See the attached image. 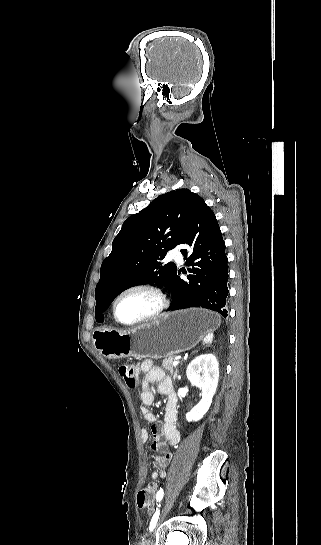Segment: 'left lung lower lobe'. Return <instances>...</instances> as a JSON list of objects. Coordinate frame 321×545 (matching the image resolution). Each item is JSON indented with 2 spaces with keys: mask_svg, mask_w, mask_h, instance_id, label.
<instances>
[{
  "mask_svg": "<svg viewBox=\"0 0 321 545\" xmlns=\"http://www.w3.org/2000/svg\"><path fill=\"white\" fill-rule=\"evenodd\" d=\"M179 244L189 245L182 249L185 264L192 274L182 280L173 274L166 286L172 293L169 311L190 307H202L227 317L226 298L228 267L225 243L214 212L204 203L198 204Z\"/></svg>",
  "mask_w": 321,
  "mask_h": 545,
  "instance_id": "obj_1",
  "label": "left lung lower lobe"
}]
</instances>
